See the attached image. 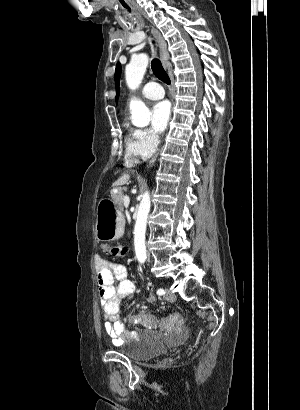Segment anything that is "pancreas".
I'll return each instance as SVG.
<instances>
[{
  "label": "pancreas",
  "instance_id": "obj_1",
  "mask_svg": "<svg viewBox=\"0 0 300 410\" xmlns=\"http://www.w3.org/2000/svg\"><path fill=\"white\" fill-rule=\"evenodd\" d=\"M112 198L114 202L117 204V206L119 207V209L123 210V199H124L123 191L120 189L118 193L116 194L112 193Z\"/></svg>",
  "mask_w": 300,
  "mask_h": 410
}]
</instances>
